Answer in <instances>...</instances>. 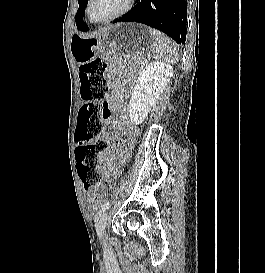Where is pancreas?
Returning <instances> with one entry per match:
<instances>
[{
  "mask_svg": "<svg viewBox=\"0 0 265 273\" xmlns=\"http://www.w3.org/2000/svg\"><path fill=\"white\" fill-rule=\"evenodd\" d=\"M136 63L141 64V65L145 64L144 60H142V59H138V60L136 61Z\"/></svg>",
  "mask_w": 265,
  "mask_h": 273,
  "instance_id": "1",
  "label": "pancreas"
}]
</instances>
